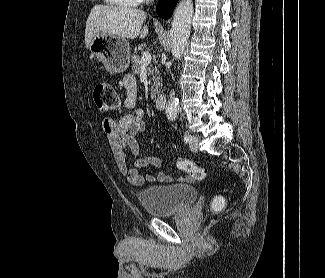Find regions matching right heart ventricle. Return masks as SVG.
Segmentation results:
<instances>
[{
	"mask_svg": "<svg viewBox=\"0 0 325 278\" xmlns=\"http://www.w3.org/2000/svg\"><path fill=\"white\" fill-rule=\"evenodd\" d=\"M105 2L118 7L133 8L139 5L140 0H105Z\"/></svg>",
	"mask_w": 325,
	"mask_h": 278,
	"instance_id": "obj_1",
	"label": "right heart ventricle"
}]
</instances>
